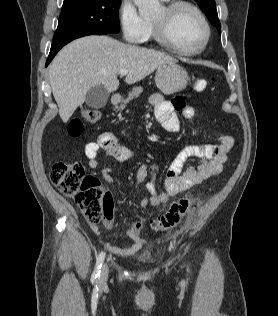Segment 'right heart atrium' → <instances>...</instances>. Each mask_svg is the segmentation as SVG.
Masks as SVG:
<instances>
[{
  "label": "right heart atrium",
  "instance_id": "d8ad5b80",
  "mask_svg": "<svg viewBox=\"0 0 278 316\" xmlns=\"http://www.w3.org/2000/svg\"><path fill=\"white\" fill-rule=\"evenodd\" d=\"M118 21L123 38L130 43H140L147 32V21L138 13L132 0H121Z\"/></svg>",
  "mask_w": 278,
  "mask_h": 316
}]
</instances>
